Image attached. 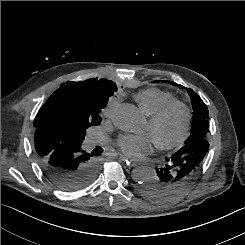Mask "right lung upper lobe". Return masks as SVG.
Returning <instances> with one entry per match:
<instances>
[{
	"label": "right lung upper lobe",
	"instance_id": "1",
	"mask_svg": "<svg viewBox=\"0 0 245 245\" xmlns=\"http://www.w3.org/2000/svg\"><path fill=\"white\" fill-rule=\"evenodd\" d=\"M117 91V86L107 79H88L62 84L45 102L34 120V142L42 137H53L58 142L75 140L78 133L73 121L80 115L94 113L102 99ZM114 94V93H113ZM63 118L70 125L65 137H61L53 127V120Z\"/></svg>",
	"mask_w": 245,
	"mask_h": 245
}]
</instances>
